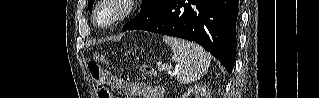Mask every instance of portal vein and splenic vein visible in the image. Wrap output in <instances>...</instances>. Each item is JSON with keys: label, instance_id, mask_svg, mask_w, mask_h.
Here are the masks:
<instances>
[{"label": "portal vein and splenic vein", "instance_id": "18ae733b", "mask_svg": "<svg viewBox=\"0 0 319 98\" xmlns=\"http://www.w3.org/2000/svg\"><path fill=\"white\" fill-rule=\"evenodd\" d=\"M158 68H159V70H167L169 73H172L171 72V67L168 66V65H161Z\"/></svg>", "mask_w": 319, "mask_h": 98}]
</instances>
